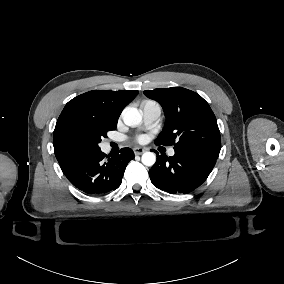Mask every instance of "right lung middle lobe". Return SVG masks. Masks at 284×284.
<instances>
[{
	"mask_svg": "<svg viewBox=\"0 0 284 284\" xmlns=\"http://www.w3.org/2000/svg\"><path fill=\"white\" fill-rule=\"evenodd\" d=\"M108 131L107 128L82 120H74L68 127L70 138L86 152L99 150L98 143L102 137H106Z\"/></svg>",
	"mask_w": 284,
	"mask_h": 284,
	"instance_id": "right-lung-middle-lobe-1",
	"label": "right lung middle lobe"
}]
</instances>
